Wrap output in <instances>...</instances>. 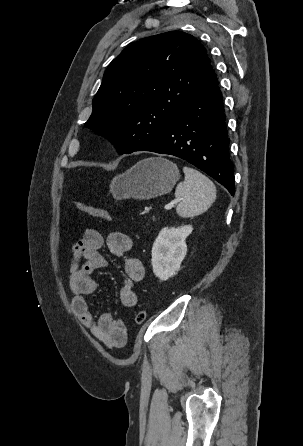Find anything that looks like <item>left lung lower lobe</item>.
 <instances>
[{"instance_id":"0a47b994","label":"left lung lower lobe","mask_w":303,"mask_h":446,"mask_svg":"<svg viewBox=\"0 0 303 446\" xmlns=\"http://www.w3.org/2000/svg\"><path fill=\"white\" fill-rule=\"evenodd\" d=\"M135 151L185 159L233 195L234 169L229 157L224 106L216 75L184 104L170 127Z\"/></svg>"}]
</instances>
